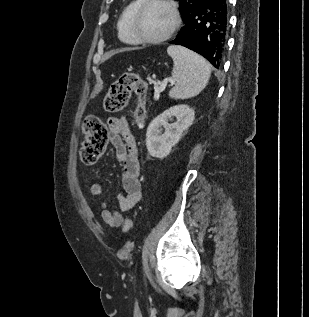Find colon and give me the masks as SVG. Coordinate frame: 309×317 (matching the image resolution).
<instances>
[{
  "label": "colon",
  "mask_w": 309,
  "mask_h": 317,
  "mask_svg": "<svg viewBox=\"0 0 309 317\" xmlns=\"http://www.w3.org/2000/svg\"><path fill=\"white\" fill-rule=\"evenodd\" d=\"M146 92L147 84L134 72L123 73L112 85L106 94L103 107L108 112H118L129 102L132 93L137 95V106L134 113L135 121L142 125L146 116ZM84 141L80 150L81 161L84 165L95 164L103 155L107 140L108 131L105 123L96 116H88L85 119ZM132 221L127 218L124 222V231L130 232Z\"/></svg>",
  "instance_id": "5ec220e1"
}]
</instances>
